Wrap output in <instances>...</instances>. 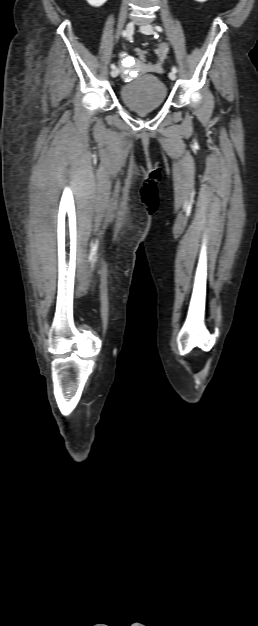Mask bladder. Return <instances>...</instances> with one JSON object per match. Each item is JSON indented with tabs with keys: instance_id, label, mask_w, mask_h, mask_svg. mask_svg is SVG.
<instances>
[{
	"instance_id": "bladder-1",
	"label": "bladder",
	"mask_w": 258,
	"mask_h": 626,
	"mask_svg": "<svg viewBox=\"0 0 258 626\" xmlns=\"http://www.w3.org/2000/svg\"><path fill=\"white\" fill-rule=\"evenodd\" d=\"M122 103L135 112H149L161 107L167 97L165 84L156 76L143 75L120 89Z\"/></svg>"
}]
</instances>
